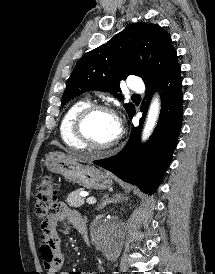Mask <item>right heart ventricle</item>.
<instances>
[{
  "label": "right heart ventricle",
  "instance_id": "right-heart-ventricle-1",
  "mask_svg": "<svg viewBox=\"0 0 215 274\" xmlns=\"http://www.w3.org/2000/svg\"><path fill=\"white\" fill-rule=\"evenodd\" d=\"M90 104L89 100L81 99L69 106L65 114L63 115L59 132L62 141L71 148L74 149H84L85 146L79 142L74 134V121L78 113Z\"/></svg>",
  "mask_w": 215,
  "mask_h": 274
}]
</instances>
